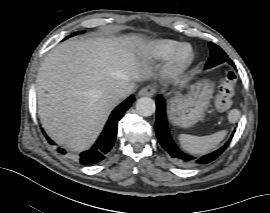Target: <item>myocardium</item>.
Wrapping results in <instances>:
<instances>
[{
	"instance_id": "myocardium-1",
	"label": "myocardium",
	"mask_w": 270,
	"mask_h": 213,
	"mask_svg": "<svg viewBox=\"0 0 270 213\" xmlns=\"http://www.w3.org/2000/svg\"><path fill=\"white\" fill-rule=\"evenodd\" d=\"M194 49L188 43L175 46L166 65V72L171 75L182 73L193 61Z\"/></svg>"
}]
</instances>
